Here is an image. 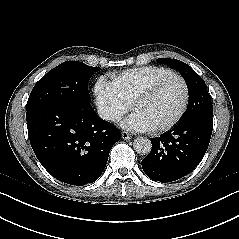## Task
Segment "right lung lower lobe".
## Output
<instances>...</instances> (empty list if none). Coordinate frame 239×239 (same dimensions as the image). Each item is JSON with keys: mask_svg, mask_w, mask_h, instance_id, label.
<instances>
[{"mask_svg": "<svg viewBox=\"0 0 239 239\" xmlns=\"http://www.w3.org/2000/svg\"><path fill=\"white\" fill-rule=\"evenodd\" d=\"M28 135L43 167L56 179L83 186L102 174L121 133L90 104H40L27 108Z\"/></svg>", "mask_w": 239, "mask_h": 239, "instance_id": "98d812e1", "label": "right lung lower lobe"}]
</instances>
